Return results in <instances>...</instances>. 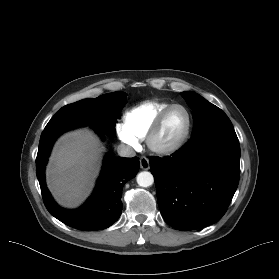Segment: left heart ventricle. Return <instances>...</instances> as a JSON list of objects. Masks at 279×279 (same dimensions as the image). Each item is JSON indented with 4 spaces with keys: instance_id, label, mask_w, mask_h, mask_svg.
Instances as JSON below:
<instances>
[{
    "instance_id": "1",
    "label": "left heart ventricle",
    "mask_w": 279,
    "mask_h": 279,
    "mask_svg": "<svg viewBox=\"0 0 279 279\" xmlns=\"http://www.w3.org/2000/svg\"><path fill=\"white\" fill-rule=\"evenodd\" d=\"M187 117L182 109H174L166 117L157 137L156 143L161 146L176 142L184 133Z\"/></svg>"
}]
</instances>
